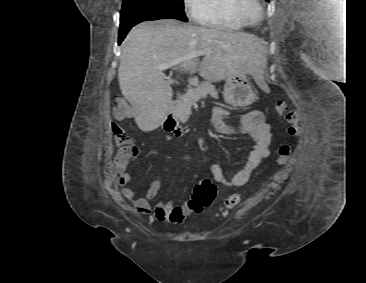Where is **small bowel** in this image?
<instances>
[{
    "mask_svg": "<svg viewBox=\"0 0 366 283\" xmlns=\"http://www.w3.org/2000/svg\"><path fill=\"white\" fill-rule=\"evenodd\" d=\"M227 111L216 106L214 108L213 124L216 130L222 134H248L254 144L250 151L244 167L236 172L231 178H227L219 164L211 165V173L214 179L227 187H241L245 185L252 172L260 164V162L269 155V146L271 141L270 125L265 121V115L260 110L250 111L240 117L236 124H229L226 121ZM186 159L189 157L186 156ZM127 166L116 164V173L118 184L121 187L122 195L132 203L137 211L142 214H152L158 221L168 223H180L185 216L191 213L188 204L175 206L172 202H158L151 209L149 202L153 200L160 188L161 179L155 177L147 190L144 197L129 188L128 185L133 182L131 175L127 172Z\"/></svg>",
    "mask_w": 366,
    "mask_h": 283,
    "instance_id": "1",
    "label": "small bowel"
}]
</instances>
